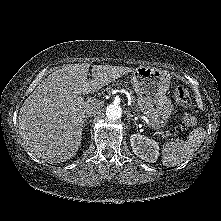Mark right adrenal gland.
<instances>
[{
	"instance_id": "2a0ac1e0",
	"label": "right adrenal gland",
	"mask_w": 221,
	"mask_h": 221,
	"mask_svg": "<svg viewBox=\"0 0 221 221\" xmlns=\"http://www.w3.org/2000/svg\"><path fill=\"white\" fill-rule=\"evenodd\" d=\"M89 117H90V116H85V118H84V125H83V126H85V125H86V123H87V121H88Z\"/></svg>"
}]
</instances>
